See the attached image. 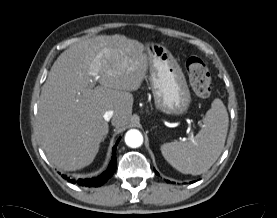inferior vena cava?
I'll list each match as a JSON object with an SVG mask.
<instances>
[{
	"mask_svg": "<svg viewBox=\"0 0 277 218\" xmlns=\"http://www.w3.org/2000/svg\"><path fill=\"white\" fill-rule=\"evenodd\" d=\"M114 115V112L112 110H108L104 113L103 118L105 121H109Z\"/></svg>",
	"mask_w": 277,
	"mask_h": 218,
	"instance_id": "1",
	"label": "inferior vena cava"
}]
</instances>
